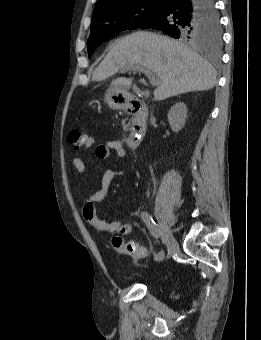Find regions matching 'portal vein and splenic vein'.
Segmentation results:
<instances>
[{
	"instance_id": "portal-vein-and-splenic-vein-1",
	"label": "portal vein and splenic vein",
	"mask_w": 261,
	"mask_h": 340,
	"mask_svg": "<svg viewBox=\"0 0 261 340\" xmlns=\"http://www.w3.org/2000/svg\"><path fill=\"white\" fill-rule=\"evenodd\" d=\"M128 70H136V71H139V72H143L148 77V79H149V81H150V83L153 87H156V86L159 85V80L156 78L155 73L145 66L136 65V66H132V67H129V68H125L122 71L126 72Z\"/></svg>"
}]
</instances>
